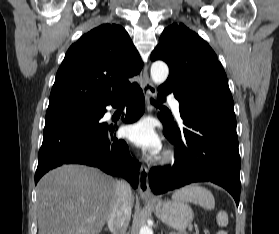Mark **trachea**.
<instances>
[{
	"label": "trachea",
	"mask_w": 279,
	"mask_h": 234,
	"mask_svg": "<svg viewBox=\"0 0 279 234\" xmlns=\"http://www.w3.org/2000/svg\"><path fill=\"white\" fill-rule=\"evenodd\" d=\"M151 102H152L153 104H156V102H155L153 99H151Z\"/></svg>",
	"instance_id": "trachea-1"
}]
</instances>
